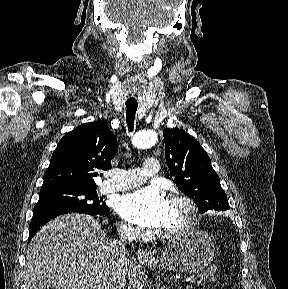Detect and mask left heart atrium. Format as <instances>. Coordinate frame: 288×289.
I'll use <instances>...</instances> for the list:
<instances>
[{
  "label": "left heart atrium",
  "instance_id": "39dd6f15",
  "mask_svg": "<svg viewBox=\"0 0 288 289\" xmlns=\"http://www.w3.org/2000/svg\"><path fill=\"white\" fill-rule=\"evenodd\" d=\"M115 209L128 222L156 228L167 221L168 200L158 186H148L120 195L116 199Z\"/></svg>",
  "mask_w": 288,
  "mask_h": 289
}]
</instances>
